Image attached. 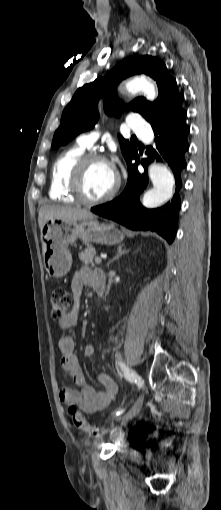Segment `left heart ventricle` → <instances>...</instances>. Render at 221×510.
Instances as JSON below:
<instances>
[{
    "mask_svg": "<svg viewBox=\"0 0 221 510\" xmlns=\"http://www.w3.org/2000/svg\"><path fill=\"white\" fill-rule=\"evenodd\" d=\"M116 172L107 162H93L88 165L83 182L85 195L90 199L104 196L114 187Z\"/></svg>",
    "mask_w": 221,
    "mask_h": 510,
    "instance_id": "b2bd125f",
    "label": "left heart ventricle"
}]
</instances>
